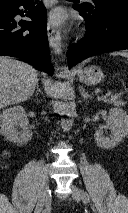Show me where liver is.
<instances>
[{
	"mask_svg": "<svg viewBox=\"0 0 128 213\" xmlns=\"http://www.w3.org/2000/svg\"><path fill=\"white\" fill-rule=\"evenodd\" d=\"M37 83V70L31 65L0 57V109L27 100Z\"/></svg>",
	"mask_w": 128,
	"mask_h": 213,
	"instance_id": "6515ba94",
	"label": "liver"
}]
</instances>
